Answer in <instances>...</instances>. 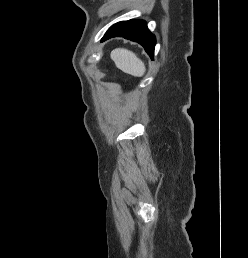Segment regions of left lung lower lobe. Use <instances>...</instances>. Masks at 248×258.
<instances>
[{
    "mask_svg": "<svg viewBox=\"0 0 248 258\" xmlns=\"http://www.w3.org/2000/svg\"><path fill=\"white\" fill-rule=\"evenodd\" d=\"M117 36L138 42L145 48V51L150 55V57L153 58L156 39L148 30L144 21L129 20L118 22L108 29L106 34L103 36L102 41Z\"/></svg>",
    "mask_w": 248,
    "mask_h": 258,
    "instance_id": "0a47b994",
    "label": "left lung lower lobe"
}]
</instances>
